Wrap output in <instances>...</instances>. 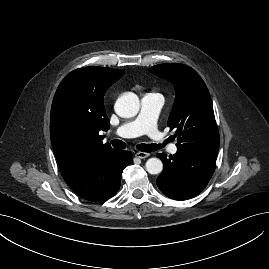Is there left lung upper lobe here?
<instances>
[{
	"instance_id": "5c2ea615",
	"label": "left lung upper lobe",
	"mask_w": 269,
	"mask_h": 269,
	"mask_svg": "<svg viewBox=\"0 0 269 269\" xmlns=\"http://www.w3.org/2000/svg\"><path fill=\"white\" fill-rule=\"evenodd\" d=\"M151 72L174 84L176 98L168 119L178 135L179 149H219V132L208 89L191 67L165 63L151 67Z\"/></svg>"
}]
</instances>
